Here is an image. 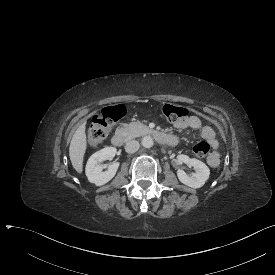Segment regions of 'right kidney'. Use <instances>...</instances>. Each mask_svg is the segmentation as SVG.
Wrapping results in <instances>:
<instances>
[{"instance_id":"1","label":"right kidney","mask_w":275,"mask_h":275,"mask_svg":"<svg viewBox=\"0 0 275 275\" xmlns=\"http://www.w3.org/2000/svg\"><path fill=\"white\" fill-rule=\"evenodd\" d=\"M115 154L116 148L106 147L90 157L86 166V176L89 183L103 186L115 177L120 162H113L106 172H103V166L101 165L103 160L113 159Z\"/></svg>"}]
</instances>
